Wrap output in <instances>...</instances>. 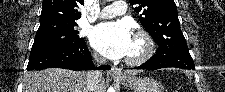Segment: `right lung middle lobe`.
<instances>
[{"label": "right lung middle lobe", "instance_id": "dd1d6c3e", "mask_svg": "<svg viewBox=\"0 0 225 92\" xmlns=\"http://www.w3.org/2000/svg\"><path fill=\"white\" fill-rule=\"evenodd\" d=\"M76 22H49L40 24L31 52L54 47L78 45L83 38L79 37Z\"/></svg>", "mask_w": 225, "mask_h": 92}]
</instances>
